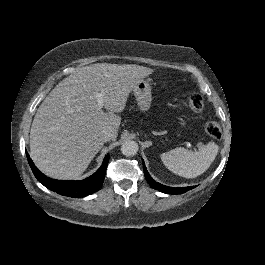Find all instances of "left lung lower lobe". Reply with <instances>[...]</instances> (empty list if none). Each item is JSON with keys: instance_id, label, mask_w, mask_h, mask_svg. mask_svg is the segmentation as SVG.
<instances>
[{"instance_id": "0a47b994", "label": "left lung lower lobe", "mask_w": 265, "mask_h": 265, "mask_svg": "<svg viewBox=\"0 0 265 265\" xmlns=\"http://www.w3.org/2000/svg\"><path fill=\"white\" fill-rule=\"evenodd\" d=\"M143 168H144V174H145V178L148 181V183L150 184V186L158 191H161L163 193H167V194H182L187 192L188 190H191L193 188H195V186L192 187H183V188H173V187H168L165 185H162L160 183H157L156 181H154L151 176L149 175L144 161H143Z\"/></svg>"}]
</instances>
